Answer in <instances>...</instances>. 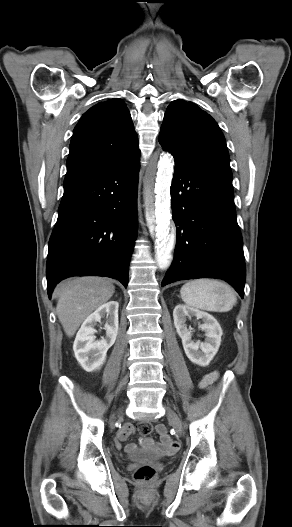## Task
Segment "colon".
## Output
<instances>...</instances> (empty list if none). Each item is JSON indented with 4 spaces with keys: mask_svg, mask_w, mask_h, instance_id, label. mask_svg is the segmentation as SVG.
<instances>
[{
    "mask_svg": "<svg viewBox=\"0 0 292 527\" xmlns=\"http://www.w3.org/2000/svg\"><path fill=\"white\" fill-rule=\"evenodd\" d=\"M152 430V425L148 422H143L138 426V431L141 434H148ZM136 480L142 483H149L155 477V470L149 465L140 466L134 474Z\"/></svg>",
    "mask_w": 292,
    "mask_h": 527,
    "instance_id": "colon-1",
    "label": "colon"
}]
</instances>
